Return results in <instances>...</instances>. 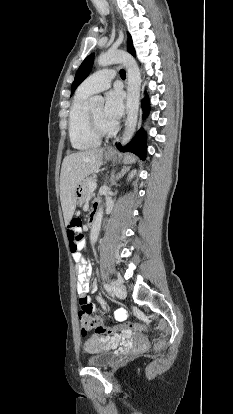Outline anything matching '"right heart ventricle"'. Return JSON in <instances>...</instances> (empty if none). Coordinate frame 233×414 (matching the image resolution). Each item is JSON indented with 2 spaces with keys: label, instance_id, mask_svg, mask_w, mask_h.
Listing matches in <instances>:
<instances>
[{
  "label": "right heart ventricle",
  "instance_id": "obj_1",
  "mask_svg": "<svg viewBox=\"0 0 233 414\" xmlns=\"http://www.w3.org/2000/svg\"><path fill=\"white\" fill-rule=\"evenodd\" d=\"M89 96V93L79 88L69 110V139L72 147L77 150L92 149L100 144V138L93 135L88 127L86 101Z\"/></svg>",
  "mask_w": 233,
  "mask_h": 414
}]
</instances>
